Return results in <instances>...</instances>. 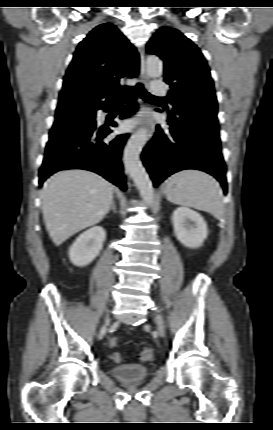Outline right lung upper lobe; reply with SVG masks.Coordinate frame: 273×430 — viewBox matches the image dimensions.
<instances>
[{
    "mask_svg": "<svg viewBox=\"0 0 273 430\" xmlns=\"http://www.w3.org/2000/svg\"><path fill=\"white\" fill-rule=\"evenodd\" d=\"M138 70L139 56L133 45L113 24H101L79 43L64 77L58 107L72 100L93 107L110 103L120 79L127 74L136 77Z\"/></svg>",
    "mask_w": 273,
    "mask_h": 430,
    "instance_id": "cb5924a9",
    "label": "right lung upper lobe"
}]
</instances>
